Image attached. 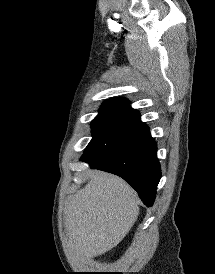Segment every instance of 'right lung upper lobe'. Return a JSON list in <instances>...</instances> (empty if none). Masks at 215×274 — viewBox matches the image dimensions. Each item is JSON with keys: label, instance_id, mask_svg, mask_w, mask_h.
Listing matches in <instances>:
<instances>
[{"label": "right lung upper lobe", "instance_id": "right-lung-upper-lobe-1", "mask_svg": "<svg viewBox=\"0 0 215 274\" xmlns=\"http://www.w3.org/2000/svg\"><path fill=\"white\" fill-rule=\"evenodd\" d=\"M105 103L117 104V105H121V106H124V107L131 108V106L129 104V101L125 98H113V99H110V100H106Z\"/></svg>", "mask_w": 215, "mask_h": 274}]
</instances>
